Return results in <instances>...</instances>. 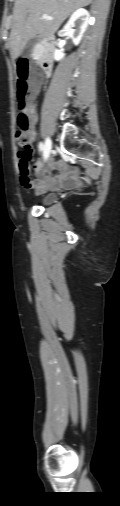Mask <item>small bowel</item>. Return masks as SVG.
<instances>
[{
    "label": "small bowel",
    "instance_id": "c3829d8e",
    "mask_svg": "<svg viewBox=\"0 0 120 506\" xmlns=\"http://www.w3.org/2000/svg\"><path fill=\"white\" fill-rule=\"evenodd\" d=\"M42 86L40 79H35L32 82V89L30 99H34ZM32 122L37 119L36 113L33 108H30ZM33 132V138L35 131ZM33 169L38 174L37 178L32 180L28 174L20 175L21 186L25 189H33L36 193H42L47 189H72L79 185L78 176L70 171H67L65 163L52 160L49 167L44 169L41 161H37L33 165Z\"/></svg>",
    "mask_w": 120,
    "mask_h": 506
}]
</instances>
